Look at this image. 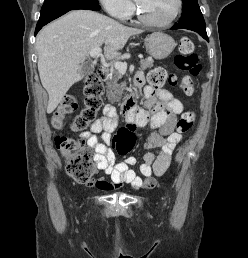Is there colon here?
I'll return each mask as SVG.
<instances>
[{
	"instance_id": "5ec220e1",
	"label": "colon",
	"mask_w": 248,
	"mask_h": 258,
	"mask_svg": "<svg viewBox=\"0 0 248 258\" xmlns=\"http://www.w3.org/2000/svg\"><path fill=\"white\" fill-rule=\"evenodd\" d=\"M194 42L188 37L179 40V54L175 57V64L178 69L187 71L190 76H198L201 65L197 55L193 52ZM185 76L181 80L168 75L162 68L152 69L147 76L150 85L161 87L166 81L179 84L180 89L186 96L194 93L193 80ZM83 92L85 95V107L72 123L74 131H84L89 123L94 120L96 113L101 107V96L103 93L102 80L97 75H89L86 78ZM76 98L68 95L62 99L57 110L54 112L51 123L54 128H62L65 123V116L75 110ZM195 122V113L186 111L177 122L176 128L179 133L188 132ZM134 135L126 128L121 127L114 137V146L117 151L125 155L130 152L133 146ZM55 144L61 155L66 159V170L77 182L89 183L93 180V165L90 152L84 150L83 143L66 136L55 137Z\"/></svg>"
}]
</instances>
